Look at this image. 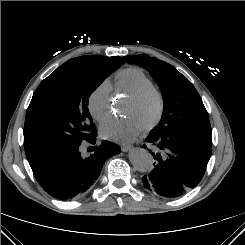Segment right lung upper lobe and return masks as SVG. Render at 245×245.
Listing matches in <instances>:
<instances>
[{
  "label": "right lung upper lobe",
  "instance_id": "obj_1",
  "mask_svg": "<svg viewBox=\"0 0 245 245\" xmlns=\"http://www.w3.org/2000/svg\"><path fill=\"white\" fill-rule=\"evenodd\" d=\"M93 57H103V56H81V57H77V58H93ZM110 58L117 59V60L124 63V61L121 57H110ZM34 147H35V145L31 140L24 138L25 153H26V156H27V159L29 161L31 168H34L43 160L42 157L35 155Z\"/></svg>",
  "mask_w": 245,
  "mask_h": 245
}]
</instances>
